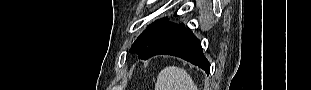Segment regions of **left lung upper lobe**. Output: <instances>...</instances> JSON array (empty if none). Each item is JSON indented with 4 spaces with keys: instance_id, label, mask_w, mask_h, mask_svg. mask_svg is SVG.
<instances>
[{
    "instance_id": "left-lung-upper-lobe-1",
    "label": "left lung upper lobe",
    "mask_w": 311,
    "mask_h": 90,
    "mask_svg": "<svg viewBox=\"0 0 311 90\" xmlns=\"http://www.w3.org/2000/svg\"><path fill=\"white\" fill-rule=\"evenodd\" d=\"M177 24L168 22L167 18L156 20L149 25L135 40L130 52L137 53L140 59H147L149 54L176 26Z\"/></svg>"
}]
</instances>
